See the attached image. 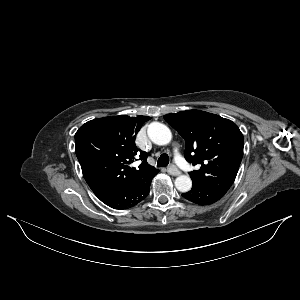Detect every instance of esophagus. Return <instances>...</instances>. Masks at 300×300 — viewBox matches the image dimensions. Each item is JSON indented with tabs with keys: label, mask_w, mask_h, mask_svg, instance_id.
<instances>
[{
	"label": "esophagus",
	"mask_w": 300,
	"mask_h": 300,
	"mask_svg": "<svg viewBox=\"0 0 300 300\" xmlns=\"http://www.w3.org/2000/svg\"><path fill=\"white\" fill-rule=\"evenodd\" d=\"M167 172L170 174V175H173V176H178L180 175V171L179 169L175 166V165H171L168 169H167Z\"/></svg>",
	"instance_id": "34e87169"
}]
</instances>
